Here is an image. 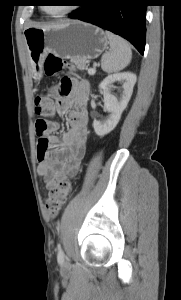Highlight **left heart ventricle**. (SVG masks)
Returning a JSON list of instances; mask_svg holds the SVG:
<instances>
[{
  "instance_id": "b2bd125f",
  "label": "left heart ventricle",
  "mask_w": 181,
  "mask_h": 300,
  "mask_svg": "<svg viewBox=\"0 0 181 300\" xmlns=\"http://www.w3.org/2000/svg\"><path fill=\"white\" fill-rule=\"evenodd\" d=\"M50 3H54V4H48L45 6V9L48 13L50 14H58L62 11H64L67 7H68V3L69 1H48Z\"/></svg>"
}]
</instances>
